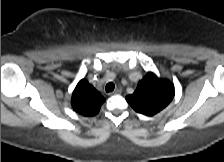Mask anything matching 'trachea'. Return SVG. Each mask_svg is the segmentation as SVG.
Instances as JSON below:
<instances>
[{
  "mask_svg": "<svg viewBox=\"0 0 224 162\" xmlns=\"http://www.w3.org/2000/svg\"><path fill=\"white\" fill-rule=\"evenodd\" d=\"M114 88H115L114 83L110 82L106 85L105 90H106V92H112L114 90Z\"/></svg>",
  "mask_w": 224,
  "mask_h": 162,
  "instance_id": "trachea-1",
  "label": "trachea"
}]
</instances>
